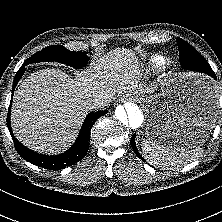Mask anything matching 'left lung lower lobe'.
<instances>
[{
	"label": "left lung lower lobe",
	"mask_w": 222,
	"mask_h": 222,
	"mask_svg": "<svg viewBox=\"0 0 222 222\" xmlns=\"http://www.w3.org/2000/svg\"><path fill=\"white\" fill-rule=\"evenodd\" d=\"M182 68L187 69V70H191V71H197V72L205 73V74H208V75H210V76H212L213 78L216 79L214 71L203 72L200 66H196V65H194V64H192L191 62H188V61H184ZM131 146H132V149L135 152V154L140 159L144 160L142 158V156L139 154V152H138V150L136 148L135 135H133L132 138H131Z\"/></svg>",
	"instance_id": "obj_1"
}]
</instances>
